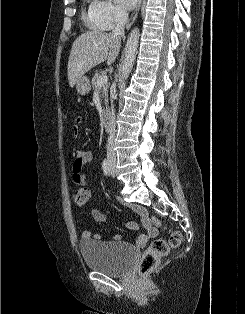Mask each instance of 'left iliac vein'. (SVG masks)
Listing matches in <instances>:
<instances>
[{"instance_id": "1", "label": "left iliac vein", "mask_w": 245, "mask_h": 314, "mask_svg": "<svg viewBox=\"0 0 245 314\" xmlns=\"http://www.w3.org/2000/svg\"><path fill=\"white\" fill-rule=\"evenodd\" d=\"M111 175L115 176V169H114V167H111Z\"/></svg>"}]
</instances>
